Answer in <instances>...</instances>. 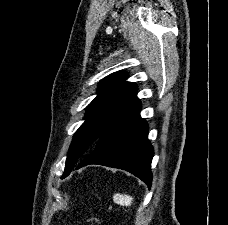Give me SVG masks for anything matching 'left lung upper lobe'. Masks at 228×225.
I'll use <instances>...</instances> for the list:
<instances>
[{"label":"left lung upper lobe","mask_w":228,"mask_h":225,"mask_svg":"<svg viewBox=\"0 0 228 225\" xmlns=\"http://www.w3.org/2000/svg\"><path fill=\"white\" fill-rule=\"evenodd\" d=\"M127 77V73L119 71L99 83L98 95L86 109L85 122L74 134L62 179L92 152L109 127L140 104L136 96L138 89L134 83L125 81Z\"/></svg>","instance_id":"1"}]
</instances>
